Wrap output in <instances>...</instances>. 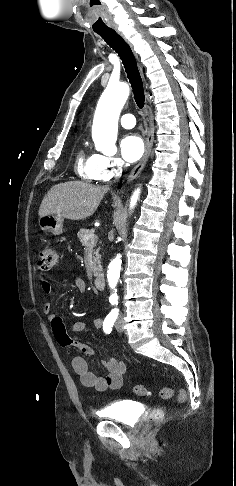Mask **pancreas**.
I'll return each instance as SVG.
<instances>
[{"mask_svg": "<svg viewBox=\"0 0 236 486\" xmlns=\"http://www.w3.org/2000/svg\"><path fill=\"white\" fill-rule=\"evenodd\" d=\"M78 239L82 246L84 247H94L96 245V236L94 235V230H88V229H81L78 234ZM86 237H90L89 240H86ZM94 264H93V273L94 275H97L101 270V264H100V255H99V249L96 250V257H94Z\"/></svg>", "mask_w": 236, "mask_h": 486, "instance_id": "cf45deb5", "label": "pancreas"}]
</instances>
